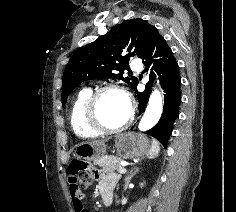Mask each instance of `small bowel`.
I'll return each instance as SVG.
<instances>
[{"mask_svg":"<svg viewBox=\"0 0 236 212\" xmlns=\"http://www.w3.org/2000/svg\"><path fill=\"white\" fill-rule=\"evenodd\" d=\"M66 179V183L69 186L68 191L70 192V198L72 199L74 212H85L82 202L83 197L81 190H86V185H82V183L79 182L78 175H67ZM115 182L116 176H107L102 179L98 187L100 190L105 189L107 191H111L115 185Z\"/></svg>","mask_w":236,"mask_h":212,"instance_id":"small-bowel-1","label":"small bowel"}]
</instances>
